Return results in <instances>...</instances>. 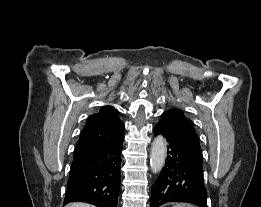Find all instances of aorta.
I'll use <instances>...</instances> for the list:
<instances>
[{"mask_svg":"<svg viewBox=\"0 0 261 207\" xmlns=\"http://www.w3.org/2000/svg\"><path fill=\"white\" fill-rule=\"evenodd\" d=\"M166 159V144L162 136H157L152 144L150 154V167L153 173H159Z\"/></svg>","mask_w":261,"mask_h":207,"instance_id":"obj_1","label":"aorta"}]
</instances>
